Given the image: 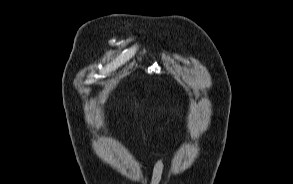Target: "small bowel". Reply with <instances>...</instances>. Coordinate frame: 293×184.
<instances>
[{"label": "small bowel", "mask_w": 293, "mask_h": 184, "mask_svg": "<svg viewBox=\"0 0 293 184\" xmlns=\"http://www.w3.org/2000/svg\"><path fill=\"white\" fill-rule=\"evenodd\" d=\"M163 171H164V158H160L154 163L152 167L150 184H159Z\"/></svg>", "instance_id": "c3829d8e"}]
</instances>
